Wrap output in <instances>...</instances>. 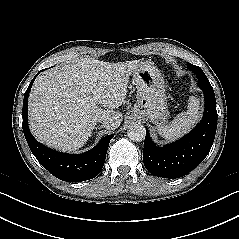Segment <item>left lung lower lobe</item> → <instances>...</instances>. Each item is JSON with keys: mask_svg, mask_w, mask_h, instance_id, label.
I'll use <instances>...</instances> for the list:
<instances>
[{"mask_svg": "<svg viewBox=\"0 0 239 239\" xmlns=\"http://www.w3.org/2000/svg\"><path fill=\"white\" fill-rule=\"evenodd\" d=\"M198 86L204 93V116L189 134L172 144L158 147L146 129L143 162L151 174L171 179L182 177L197 167L209 153L217 128L216 100L209 81L198 80Z\"/></svg>", "mask_w": 239, "mask_h": 239, "instance_id": "obj_1", "label": "left lung lower lobe"}]
</instances>
